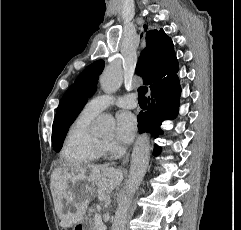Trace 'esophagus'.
<instances>
[{
	"label": "esophagus",
	"mask_w": 241,
	"mask_h": 230,
	"mask_svg": "<svg viewBox=\"0 0 241 230\" xmlns=\"http://www.w3.org/2000/svg\"><path fill=\"white\" fill-rule=\"evenodd\" d=\"M129 158H130V154L128 153V154L124 157V159H123V161H122V164H123V165H127L128 162H129Z\"/></svg>",
	"instance_id": "1"
}]
</instances>
